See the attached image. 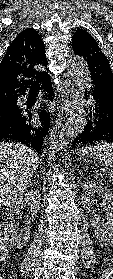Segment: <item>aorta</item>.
<instances>
[{
	"mask_svg": "<svg viewBox=\"0 0 113 279\" xmlns=\"http://www.w3.org/2000/svg\"><path fill=\"white\" fill-rule=\"evenodd\" d=\"M68 72L76 86L79 87L80 95L83 97L85 88H88L90 83V71L84 58L79 56L72 57L68 64ZM87 114L83 107L69 118L65 126L58 133L54 149H59L66 146L69 142L74 140L86 127ZM54 155V150L51 156Z\"/></svg>",
	"mask_w": 113,
	"mask_h": 279,
	"instance_id": "aorta-1",
	"label": "aorta"
}]
</instances>
